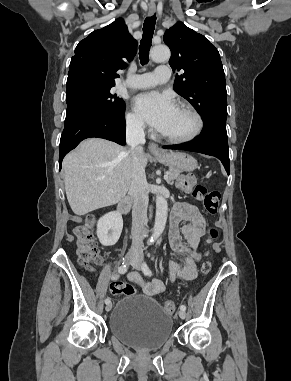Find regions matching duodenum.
Masks as SVG:
<instances>
[{"mask_svg": "<svg viewBox=\"0 0 291 381\" xmlns=\"http://www.w3.org/2000/svg\"><path fill=\"white\" fill-rule=\"evenodd\" d=\"M131 199L125 198L118 204V211L119 212H125L131 207Z\"/></svg>", "mask_w": 291, "mask_h": 381, "instance_id": "1", "label": "duodenum"}]
</instances>
